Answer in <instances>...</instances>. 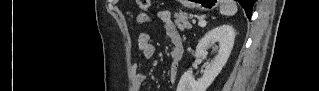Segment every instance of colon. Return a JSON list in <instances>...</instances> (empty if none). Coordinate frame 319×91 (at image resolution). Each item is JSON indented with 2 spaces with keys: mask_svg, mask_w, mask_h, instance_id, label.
<instances>
[{
  "mask_svg": "<svg viewBox=\"0 0 319 91\" xmlns=\"http://www.w3.org/2000/svg\"><path fill=\"white\" fill-rule=\"evenodd\" d=\"M152 1L150 0H139V7L142 10H148L151 6Z\"/></svg>",
  "mask_w": 319,
  "mask_h": 91,
  "instance_id": "1",
  "label": "colon"
}]
</instances>
